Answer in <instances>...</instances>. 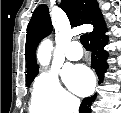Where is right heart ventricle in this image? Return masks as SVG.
I'll use <instances>...</instances> for the list:
<instances>
[{
	"mask_svg": "<svg viewBox=\"0 0 121 113\" xmlns=\"http://www.w3.org/2000/svg\"><path fill=\"white\" fill-rule=\"evenodd\" d=\"M30 113H48L47 110L35 99L34 93L29 103Z\"/></svg>",
	"mask_w": 121,
	"mask_h": 113,
	"instance_id": "1",
	"label": "right heart ventricle"
}]
</instances>
